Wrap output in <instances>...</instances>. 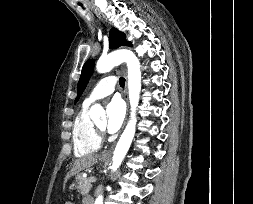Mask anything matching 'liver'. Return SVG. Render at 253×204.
<instances>
[{
    "label": "liver",
    "mask_w": 253,
    "mask_h": 204,
    "mask_svg": "<svg viewBox=\"0 0 253 204\" xmlns=\"http://www.w3.org/2000/svg\"><path fill=\"white\" fill-rule=\"evenodd\" d=\"M97 158H98L97 154H89L76 159L73 162L71 171L66 175L65 181H67L71 176L79 173L80 171L93 166L97 162Z\"/></svg>",
    "instance_id": "liver-1"
}]
</instances>
